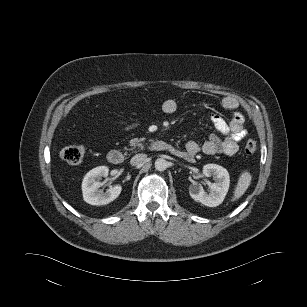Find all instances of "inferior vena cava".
<instances>
[{
    "instance_id": "obj_1",
    "label": "inferior vena cava",
    "mask_w": 307,
    "mask_h": 307,
    "mask_svg": "<svg viewBox=\"0 0 307 307\" xmlns=\"http://www.w3.org/2000/svg\"><path fill=\"white\" fill-rule=\"evenodd\" d=\"M146 158H147L146 154L139 153L131 158L130 163L131 165L136 166L145 161Z\"/></svg>"
}]
</instances>
